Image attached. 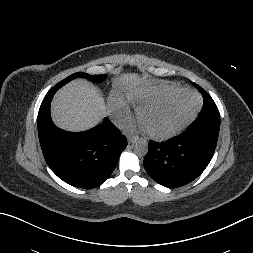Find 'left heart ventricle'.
<instances>
[{"label": "left heart ventricle", "mask_w": 253, "mask_h": 253, "mask_svg": "<svg viewBox=\"0 0 253 253\" xmlns=\"http://www.w3.org/2000/svg\"><path fill=\"white\" fill-rule=\"evenodd\" d=\"M194 98L190 95H180L166 105L147 112L142 118V124L153 132H167L173 129L191 110Z\"/></svg>", "instance_id": "obj_1"}]
</instances>
